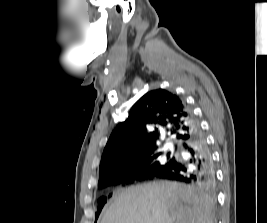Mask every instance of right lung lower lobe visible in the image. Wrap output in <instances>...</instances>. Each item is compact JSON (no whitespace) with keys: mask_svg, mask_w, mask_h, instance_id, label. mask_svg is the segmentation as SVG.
Here are the masks:
<instances>
[{"mask_svg":"<svg viewBox=\"0 0 267 223\" xmlns=\"http://www.w3.org/2000/svg\"><path fill=\"white\" fill-rule=\"evenodd\" d=\"M182 150L185 153L184 157L177 158L175 163L161 170L155 177L203 185L207 188L213 187L215 182L213 160L205 137L198 125L197 133L182 145ZM129 181V177L117 178L111 185L124 184Z\"/></svg>","mask_w":267,"mask_h":223,"instance_id":"98d812e1","label":"right lung lower lobe"}]
</instances>
